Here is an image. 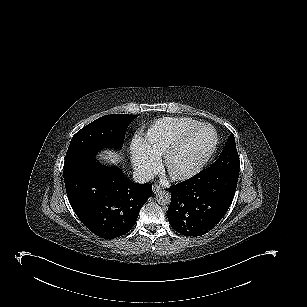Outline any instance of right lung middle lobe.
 <instances>
[{"mask_svg":"<svg viewBox=\"0 0 307 307\" xmlns=\"http://www.w3.org/2000/svg\"><path fill=\"white\" fill-rule=\"evenodd\" d=\"M137 116L108 115L78 131L72 138L67 154H92L99 146L123 144L126 129Z\"/></svg>","mask_w":307,"mask_h":307,"instance_id":"right-lung-middle-lobe-1","label":"right lung middle lobe"}]
</instances>
